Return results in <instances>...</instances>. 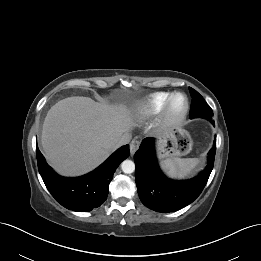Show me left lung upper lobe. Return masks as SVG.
<instances>
[{
    "mask_svg": "<svg viewBox=\"0 0 261 261\" xmlns=\"http://www.w3.org/2000/svg\"><path fill=\"white\" fill-rule=\"evenodd\" d=\"M189 91L192 97L189 113L190 118L202 117L212 119L213 111L203 97L191 87H189Z\"/></svg>",
    "mask_w": 261,
    "mask_h": 261,
    "instance_id": "obj_1",
    "label": "left lung upper lobe"
}]
</instances>
